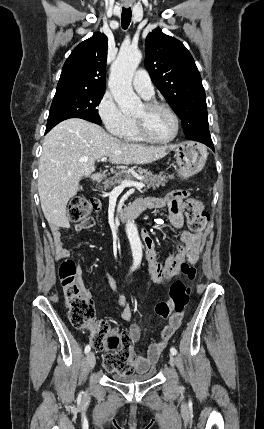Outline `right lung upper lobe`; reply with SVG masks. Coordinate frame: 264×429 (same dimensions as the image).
<instances>
[{"label":"right lung upper lobe","instance_id":"right-lung-upper-lobe-1","mask_svg":"<svg viewBox=\"0 0 264 429\" xmlns=\"http://www.w3.org/2000/svg\"><path fill=\"white\" fill-rule=\"evenodd\" d=\"M107 47V37L99 32L76 46L63 66L56 91H105Z\"/></svg>","mask_w":264,"mask_h":429}]
</instances>
